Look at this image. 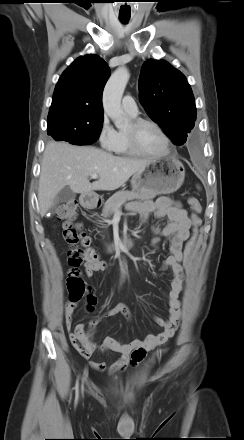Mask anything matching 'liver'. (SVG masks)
Masks as SVG:
<instances>
[{
  "label": "liver",
  "mask_w": 244,
  "mask_h": 440,
  "mask_svg": "<svg viewBox=\"0 0 244 440\" xmlns=\"http://www.w3.org/2000/svg\"><path fill=\"white\" fill-rule=\"evenodd\" d=\"M149 161L117 157L93 146L50 142L43 154L39 177L40 214L47 213L57 194L66 186L82 195L98 190L113 191L143 170ZM92 174H98L99 179L90 183Z\"/></svg>",
  "instance_id": "obj_1"
}]
</instances>
